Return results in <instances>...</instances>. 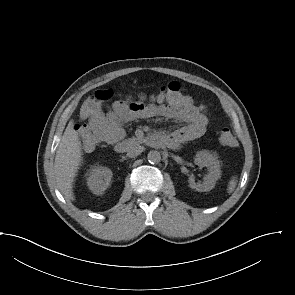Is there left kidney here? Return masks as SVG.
<instances>
[{"instance_id": "left-kidney-1", "label": "left kidney", "mask_w": 295, "mask_h": 295, "mask_svg": "<svg viewBox=\"0 0 295 295\" xmlns=\"http://www.w3.org/2000/svg\"><path fill=\"white\" fill-rule=\"evenodd\" d=\"M194 163L200 167H207L208 173L204 177L202 184L195 183L194 177H189V186L199 192H207L215 187L216 181L221 177L220 162L215 154L202 150L196 154Z\"/></svg>"}]
</instances>
